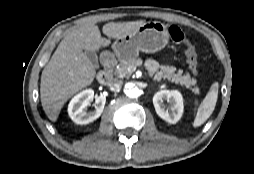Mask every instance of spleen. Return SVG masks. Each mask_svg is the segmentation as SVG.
I'll list each match as a JSON object with an SVG mask.
<instances>
[{"label":"spleen","mask_w":254,"mask_h":174,"mask_svg":"<svg viewBox=\"0 0 254 174\" xmlns=\"http://www.w3.org/2000/svg\"><path fill=\"white\" fill-rule=\"evenodd\" d=\"M217 97H218V83H213L206 97L198 107L193 122L194 127H199L211 116L212 112L215 109Z\"/></svg>","instance_id":"obj_1"}]
</instances>
